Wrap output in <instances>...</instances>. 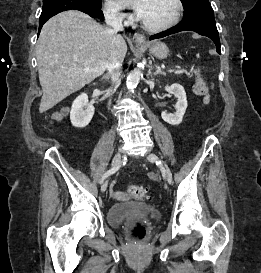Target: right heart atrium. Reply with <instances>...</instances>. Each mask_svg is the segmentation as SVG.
Masks as SVG:
<instances>
[{
	"instance_id": "d8ad5b80",
	"label": "right heart atrium",
	"mask_w": 261,
	"mask_h": 273,
	"mask_svg": "<svg viewBox=\"0 0 261 273\" xmlns=\"http://www.w3.org/2000/svg\"><path fill=\"white\" fill-rule=\"evenodd\" d=\"M104 13L112 21L123 22L128 20V15L123 11L122 5L117 0H106Z\"/></svg>"
}]
</instances>
